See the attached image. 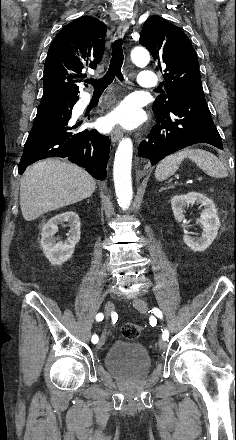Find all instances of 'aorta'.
Listing matches in <instances>:
<instances>
[{
	"label": "aorta",
	"instance_id": "762f6f07",
	"mask_svg": "<svg viewBox=\"0 0 236 440\" xmlns=\"http://www.w3.org/2000/svg\"><path fill=\"white\" fill-rule=\"evenodd\" d=\"M131 60L137 66L147 65L150 61L149 52L143 47H135L131 51ZM133 144L130 138H123L116 150L113 176L117 201L123 210H127L133 198L131 167Z\"/></svg>",
	"mask_w": 236,
	"mask_h": 440
}]
</instances>
